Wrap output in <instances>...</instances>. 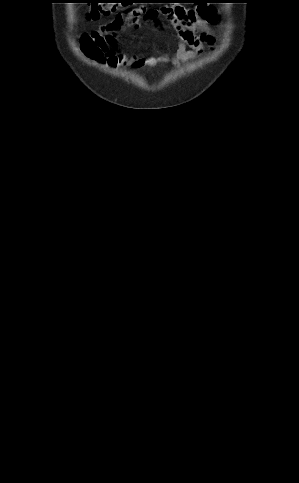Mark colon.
<instances>
[{
    "label": "colon",
    "mask_w": 299,
    "mask_h": 483,
    "mask_svg": "<svg viewBox=\"0 0 299 483\" xmlns=\"http://www.w3.org/2000/svg\"><path fill=\"white\" fill-rule=\"evenodd\" d=\"M92 3L93 6L90 8L88 14L93 19L111 16L116 13L121 6L125 5L122 0H94ZM199 12L203 18L207 17L204 8H201Z\"/></svg>",
    "instance_id": "obj_1"
}]
</instances>
